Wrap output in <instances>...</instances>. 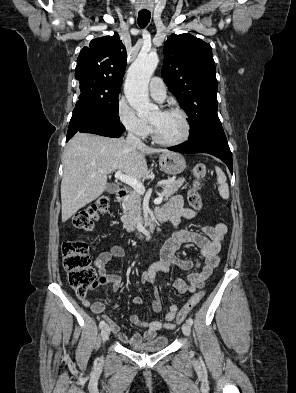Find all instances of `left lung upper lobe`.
<instances>
[{"instance_id": "left-lung-upper-lobe-1", "label": "left lung upper lobe", "mask_w": 296, "mask_h": 393, "mask_svg": "<svg viewBox=\"0 0 296 393\" xmlns=\"http://www.w3.org/2000/svg\"><path fill=\"white\" fill-rule=\"evenodd\" d=\"M162 76L189 117V139L222 127L217 114L215 62L209 44L190 34H172L164 45Z\"/></svg>"}]
</instances>
